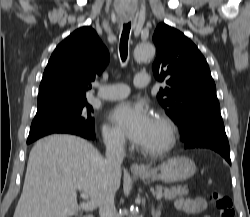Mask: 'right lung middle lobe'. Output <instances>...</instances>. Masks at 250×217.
Instances as JSON below:
<instances>
[{
  "label": "right lung middle lobe",
  "mask_w": 250,
  "mask_h": 217,
  "mask_svg": "<svg viewBox=\"0 0 250 217\" xmlns=\"http://www.w3.org/2000/svg\"><path fill=\"white\" fill-rule=\"evenodd\" d=\"M93 109L86 99L60 103L37 110L27 144L53 133H69L95 138Z\"/></svg>",
  "instance_id": "obj_1"
}]
</instances>
